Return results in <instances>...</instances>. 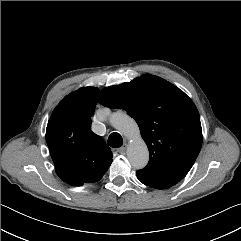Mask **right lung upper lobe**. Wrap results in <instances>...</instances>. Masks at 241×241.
Returning <instances> with one entry per match:
<instances>
[{
  "label": "right lung upper lobe",
  "mask_w": 241,
  "mask_h": 241,
  "mask_svg": "<svg viewBox=\"0 0 241 241\" xmlns=\"http://www.w3.org/2000/svg\"><path fill=\"white\" fill-rule=\"evenodd\" d=\"M99 89L83 87L67 95L54 109L46 142L55 169L84 183L99 181L112 163V152L101 136L91 131V115Z\"/></svg>",
  "instance_id": "cb5924a9"
}]
</instances>
